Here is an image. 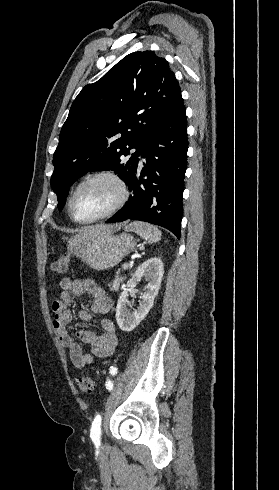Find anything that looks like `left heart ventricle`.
Returning a JSON list of instances; mask_svg holds the SVG:
<instances>
[{"label": "left heart ventricle", "instance_id": "b2bd125f", "mask_svg": "<svg viewBox=\"0 0 279 490\" xmlns=\"http://www.w3.org/2000/svg\"><path fill=\"white\" fill-rule=\"evenodd\" d=\"M117 197L115 186L106 180H93L85 183L78 191L73 204L77 219H89L106 207Z\"/></svg>", "mask_w": 279, "mask_h": 490}]
</instances>
